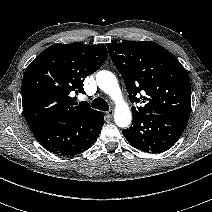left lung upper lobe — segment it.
Returning a JSON list of instances; mask_svg holds the SVG:
<instances>
[{
	"instance_id": "left-lung-upper-lobe-1",
	"label": "left lung upper lobe",
	"mask_w": 212,
	"mask_h": 212,
	"mask_svg": "<svg viewBox=\"0 0 212 212\" xmlns=\"http://www.w3.org/2000/svg\"><path fill=\"white\" fill-rule=\"evenodd\" d=\"M109 55L122 75L133 116L167 114L189 118L191 86L185 68L164 47L152 41L107 44Z\"/></svg>"
}]
</instances>
